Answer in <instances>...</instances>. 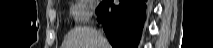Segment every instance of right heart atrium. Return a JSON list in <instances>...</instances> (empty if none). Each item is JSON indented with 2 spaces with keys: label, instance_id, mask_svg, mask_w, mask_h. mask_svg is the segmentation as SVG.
Instances as JSON below:
<instances>
[{
  "label": "right heart atrium",
  "instance_id": "right-heart-atrium-1",
  "mask_svg": "<svg viewBox=\"0 0 213 48\" xmlns=\"http://www.w3.org/2000/svg\"><path fill=\"white\" fill-rule=\"evenodd\" d=\"M93 1L80 0L77 1L71 8V15L77 22L87 21L92 15Z\"/></svg>",
  "mask_w": 213,
  "mask_h": 48
}]
</instances>
